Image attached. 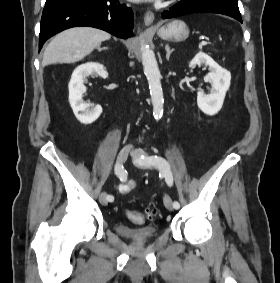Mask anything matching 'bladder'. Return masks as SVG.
I'll use <instances>...</instances> for the list:
<instances>
[{"mask_svg": "<svg viewBox=\"0 0 280 283\" xmlns=\"http://www.w3.org/2000/svg\"><path fill=\"white\" fill-rule=\"evenodd\" d=\"M114 230L117 234L135 242L150 240L156 235L157 231L156 227L153 225L130 227L122 222H117L114 226Z\"/></svg>", "mask_w": 280, "mask_h": 283, "instance_id": "obj_1", "label": "bladder"}]
</instances>
